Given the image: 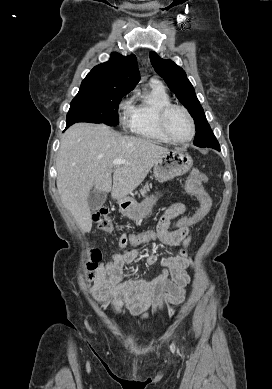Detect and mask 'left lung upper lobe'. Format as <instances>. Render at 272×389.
Wrapping results in <instances>:
<instances>
[{
	"label": "left lung upper lobe",
	"mask_w": 272,
	"mask_h": 389,
	"mask_svg": "<svg viewBox=\"0 0 272 389\" xmlns=\"http://www.w3.org/2000/svg\"><path fill=\"white\" fill-rule=\"evenodd\" d=\"M149 56L155 71L165 80L170 90L176 94L194 119L196 125L194 145L209 147L216 138L185 71L173 61L160 58L155 52H150Z\"/></svg>",
	"instance_id": "obj_1"
}]
</instances>
